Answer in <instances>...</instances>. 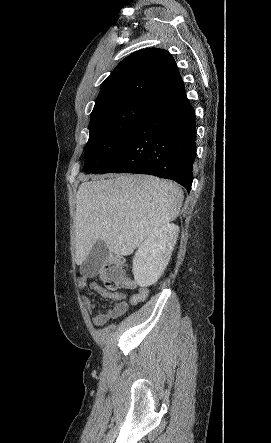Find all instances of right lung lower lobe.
Wrapping results in <instances>:
<instances>
[{"mask_svg":"<svg viewBox=\"0 0 271 443\" xmlns=\"http://www.w3.org/2000/svg\"><path fill=\"white\" fill-rule=\"evenodd\" d=\"M195 111L186 93L153 103L97 173H140L171 179L188 191L196 154Z\"/></svg>","mask_w":271,"mask_h":443,"instance_id":"98d812e1","label":"right lung lower lobe"}]
</instances>
